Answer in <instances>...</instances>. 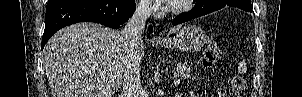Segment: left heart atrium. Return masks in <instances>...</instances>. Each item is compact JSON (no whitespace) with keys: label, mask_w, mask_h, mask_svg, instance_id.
I'll return each instance as SVG.
<instances>
[{"label":"left heart atrium","mask_w":302,"mask_h":97,"mask_svg":"<svg viewBox=\"0 0 302 97\" xmlns=\"http://www.w3.org/2000/svg\"><path fill=\"white\" fill-rule=\"evenodd\" d=\"M158 2H162V3H165V4H175L177 2H179V0H158Z\"/></svg>","instance_id":"39dd6f15"}]
</instances>
